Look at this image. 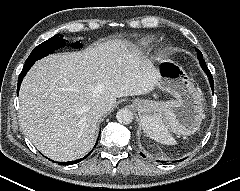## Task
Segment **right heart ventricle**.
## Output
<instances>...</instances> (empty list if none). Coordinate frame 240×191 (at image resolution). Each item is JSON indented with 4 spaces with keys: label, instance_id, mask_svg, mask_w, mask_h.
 Masks as SVG:
<instances>
[{
    "label": "right heart ventricle",
    "instance_id": "right-heart-ventricle-1",
    "mask_svg": "<svg viewBox=\"0 0 240 191\" xmlns=\"http://www.w3.org/2000/svg\"><path fill=\"white\" fill-rule=\"evenodd\" d=\"M154 40L155 39L153 37L144 38V39H142L141 41H139L137 43L136 48L139 51L145 50V49L149 48L153 44Z\"/></svg>",
    "mask_w": 240,
    "mask_h": 191
}]
</instances>
